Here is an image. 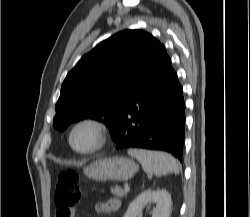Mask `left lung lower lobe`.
Returning a JSON list of instances; mask_svg holds the SVG:
<instances>
[{
  "mask_svg": "<svg viewBox=\"0 0 250 217\" xmlns=\"http://www.w3.org/2000/svg\"><path fill=\"white\" fill-rule=\"evenodd\" d=\"M184 128L183 90L162 45L152 67L134 88L112 137L117 149L165 151L182 162Z\"/></svg>",
  "mask_w": 250,
  "mask_h": 217,
  "instance_id": "1",
  "label": "left lung lower lobe"
}]
</instances>
